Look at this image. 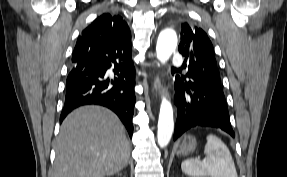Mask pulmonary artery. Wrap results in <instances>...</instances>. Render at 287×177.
<instances>
[{"mask_svg":"<svg viewBox=\"0 0 287 177\" xmlns=\"http://www.w3.org/2000/svg\"><path fill=\"white\" fill-rule=\"evenodd\" d=\"M182 63H183V57H182V55L179 54V53H175V54L173 55V57H172V65H173L174 67H179V66L182 65Z\"/></svg>","mask_w":287,"mask_h":177,"instance_id":"obj_1","label":"pulmonary artery"}]
</instances>
